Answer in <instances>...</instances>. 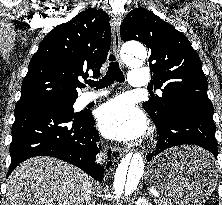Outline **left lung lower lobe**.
<instances>
[{
	"mask_svg": "<svg viewBox=\"0 0 222 205\" xmlns=\"http://www.w3.org/2000/svg\"><path fill=\"white\" fill-rule=\"evenodd\" d=\"M155 125L159 135L158 144L155 151L148 154V161L171 147L197 145L211 153L204 161L215 163L214 158L217 159L218 147L213 106L194 102L179 103L172 107L166 119Z\"/></svg>",
	"mask_w": 222,
	"mask_h": 205,
	"instance_id": "obj_1",
	"label": "left lung lower lobe"
}]
</instances>
